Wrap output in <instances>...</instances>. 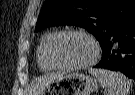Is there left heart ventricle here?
Masks as SVG:
<instances>
[{
	"mask_svg": "<svg viewBox=\"0 0 135 95\" xmlns=\"http://www.w3.org/2000/svg\"><path fill=\"white\" fill-rule=\"evenodd\" d=\"M93 55L91 43L79 35H65L55 43L53 56L65 65H77L88 61Z\"/></svg>",
	"mask_w": 135,
	"mask_h": 95,
	"instance_id": "1",
	"label": "left heart ventricle"
}]
</instances>
